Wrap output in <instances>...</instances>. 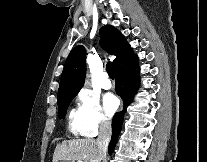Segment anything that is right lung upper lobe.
I'll return each mask as SVG.
<instances>
[{
    "instance_id": "1",
    "label": "right lung upper lobe",
    "mask_w": 207,
    "mask_h": 162,
    "mask_svg": "<svg viewBox=\"0 0 207 162\" xmlns=\"http://www.w3.org/2000/svg\"><path fill=\"white\" fill-rule=\"evenodd\" d=\"M99 34L102 48L116 56L113 61L115 70L136 57L125 37L113 26L102 27ZM85 72V48L76 46L66 60L61 75L58 99L75 96L84 84Z\"/></svg>"
}]
</instances>
